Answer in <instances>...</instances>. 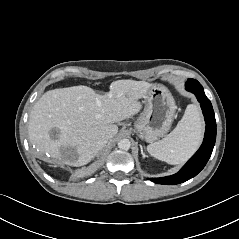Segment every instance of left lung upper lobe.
<instances>
[{"mask_svg": "<svg viewBox=\"0 0 239 239\" xmlns=\"http://www.w3.org/2000/svg\"><path fill=\"white\" fill-rule=\"evenodd\" d=\"M195 81H197V80L191 79V78L187 80V82H195Z\"/></svg>", "mask_w": 239, "mask_h": 239, "instance_id": "5c2ea615", "label": "left lung upper lobe"}]
</instances>
